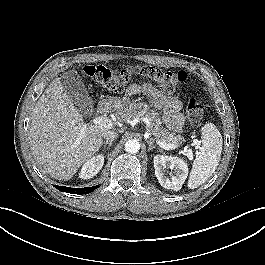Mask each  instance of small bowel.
I'll return each mask as SVG.
<instances>
[{
	"mask_svg": "<svg viewBox=\"0 0 265 265\" xmlns=\"http://www.w3.org/2000/svg\"><path fill=\"white\" fill-rule=\"evenodd\" d=\"M126 94L146 95L154 107L162 110L163 122L168 129L175 132L182 130L185 119L181 111L182 104L177 98L162 95L158 90L147 84H132L127 88Z\"/></svg>",
	"mask_w": 265,
	"mask_h": 265,
	"instance_id": "1",
	"label": "small bowel"
}]
</instances>
